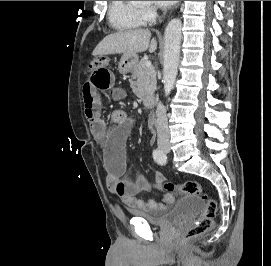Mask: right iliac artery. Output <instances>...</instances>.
<instances>
[{
    "instance_id": "82829eb1",
    "label": "right iliac artery",
    "mask_w": 271,
    "mask_h": 266,
    "mask_svg": "<svg viewBox=\"0 0 271 266\" xmlns=\"http://www.w3.org/2000/svg\"><path fill=\"white\" fill-rule=\"evenodd\" d=\"M153 158L160 165H164L167 161L165 153L159 149L153 151Z\"/></svg>"
}]
</instances>
